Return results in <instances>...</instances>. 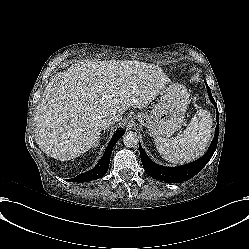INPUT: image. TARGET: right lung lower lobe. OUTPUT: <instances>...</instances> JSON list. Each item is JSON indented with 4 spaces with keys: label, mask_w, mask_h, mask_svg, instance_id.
<instances>
[{
    "label": "right lung lower lobe",
    "mask_w": 249,
    "mask_h": 249,
    "mask_svg": "<svg viewBox=\"0 0 249 249\" xmlns=\"http://www.w3.org/2000/svg\"><path fill=\"white\" fill-rule=\"evenodd\" d=\"M124 131H117L109 142L100 162L90 171L82 173L73 179L74 182H87L103 177L108 171L112 149L116 142L122 137Z\"/></svg>",
    "instance_id": "1"
}]
</instances>
